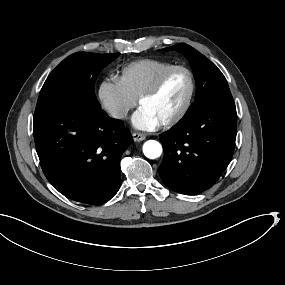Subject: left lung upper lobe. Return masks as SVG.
Wrapping results in <instances>:
<instances>
[{"mask_svg": "<svg viewBox=\"0 0 285 285\" xmlns=\"http://www.w3.org/2000/svg\"><path fill=\"white\" fill-rule=\"evenodd\" d=\"M182 52L189 60L196 80L195 101L188 111L194 112L210 103H232L228 83L218 67L191 46L180 43L165 48Z\"/></svg>", "mask_w": 285, "mask_h": 285, "instance_id": "5c2ea615", "label": "left lung upper lobe"}]
</instances>
